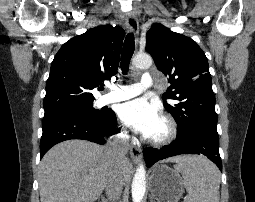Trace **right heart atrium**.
<instances>
[{
    "label": "right heart atrium",
    "mask_w": 255,
    "mask_h": 202,
    "mask_svg": "<svg viewBox=\"0 0 255 202\" xmlns=\"http://www.w3.org/2000/svg\"><path fill=\"white\" fill-rule=\"evenodd\" d=\"M123 135L126 136V132L125 131H123Z\"/></svg>",
    "instance_id": "obj_1"
}]
</instances>
